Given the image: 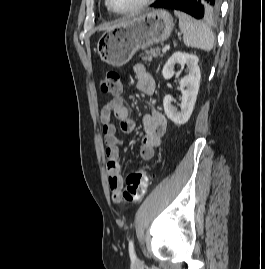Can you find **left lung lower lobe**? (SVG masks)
Masks as SVG:
<instances>
[{"instance_id": "left-lung-lower-lobe-1", "label": "left lung lower lobe", "mask_w": 265, "mask_h": 269, "mask_svg": "<svg viewBox=\"0 0 265 269\" xmlns=\"http://www.w3.org/2000/svg\"><path fill=\"white\" fill-rule=\"evenodd\" d=\"M154 7L176 9L197 19L213 20L219 14L220 0H160Z\"/></svg>"}]
</instances>
